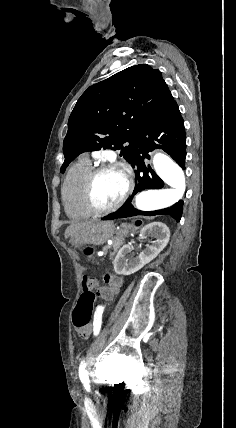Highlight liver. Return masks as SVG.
<instances>
[{
	"mask_svg": "<svg viewBox=\"0 0 236 428\" xmlns=\"http://www.w3.org/2000/svg\"><path fill=\"white\" fill-rule=\"evenodd\" d=\"M86 224H89V222H79V224H71V226H68L64 232V238H73V236H78L80 234L82 228L86 226Z\"/></svg>",
	"mask_w": 236,
	"mask_h": 428,
	"instance_id": "liver-1",
	"label": "liver"
}]
</instances>
